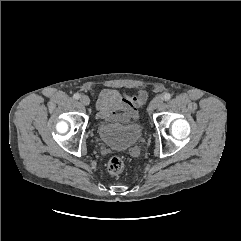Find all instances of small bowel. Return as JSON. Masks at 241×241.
<instances>
[{"label":"small bowel","mask_w":241,"mask_h":241,"mask_svg":"<svg viewBox=\"0 0 241 241\" xmlns=\"http://www.w3.org/2000/svg\"><path fill=\"white\" fill-rule=\"evenodd\" d=\"M146 92L140 90L135 95H123L113 89H104L98 97V117L128 123L135 121L138 108L146 101Z\"/></svg>","instance_id":"1"}]
</instances>
